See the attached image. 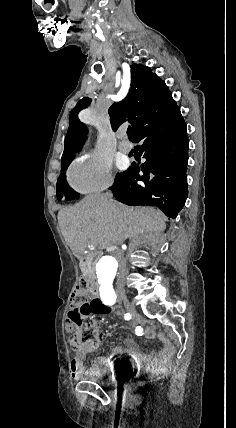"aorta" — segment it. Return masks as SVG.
I'll list each match as a JSON object with an SVG mask.
<instances>
[{
    "mask_svg": "<svg viewBox=\"0 0 236 428\" xmlns=\"http://www.w3.org/2000/svg\"><path fill=\"white\" fill-rule=\"evenodd\" d=\"M118 274V263L112 256H103L96 264V276L101 295L113 292L114 280Z\"/></svg>",
    "mask_w": 236,
    "mask_h": 428,
    "instance_id": "762f6f07",
    "label": "aorta"
}]
</instances>
